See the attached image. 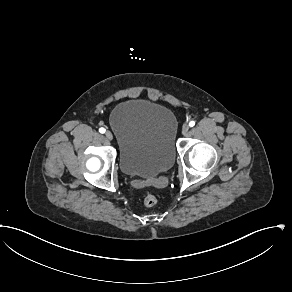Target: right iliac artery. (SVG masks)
<instances>
[{
	"mask_svg": "<svg viewBox=\"0 0 292 292\" xmlns=\"http://www.w3.org/2000/svg\"><path fill=\"white\" fill-rule=\"evenodd\" d=\"M99 132L100 133H105V128H103V127L99 128Z\"/></svg>",
	"mask_w": 292,
	"mask_h": 292,
	"instance_id": "1",
	"label": "right iliac artery"
}]
</instances>
